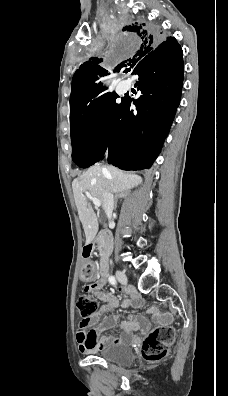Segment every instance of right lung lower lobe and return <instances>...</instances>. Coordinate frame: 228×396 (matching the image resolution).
Here are the masks:
<instances>
[{
    "instance_id": "98d812e1",
    "label": "right lung lower lobe",
    "mask_w": 228,
    "mask_h": 396,
    "mask_svg": "<svg viewBox=\"0 0 228 396\" xmlns=\"http://www.w3.org/2000/svg\"><path fill=\"white\" fill-rule=\"evenodd\" d=\"M183 53L178 43L158 46L139 62L137 100L122 99L108 136V163L123 170L149 169L168 135L183 86ZM131 104L136 110H130Z\"/></svg>"
}]
</instances>
